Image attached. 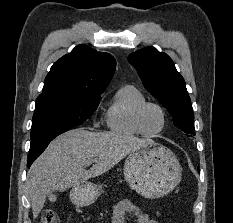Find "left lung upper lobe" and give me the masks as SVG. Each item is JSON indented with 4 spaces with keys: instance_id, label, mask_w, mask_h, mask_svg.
<instances>
[{
    "instance_id": "left-lung-upper-lobe-1",
    "label": "left lung upper lobe",
    "mask_w": 233,
    "mask_h": 223,
    "mask_svg": "<svg viewBox=\"0 0 233 223\" xmlns=\"http://www.w3.org/2000/svg\"><path fill=\"white\" fill-rule=\"evenodd\" d=\"M128 61L136 68L144 87L173 116L175 126L189 137L195 135L191 100L185 81L171 58L153 47H147L130 54Z\"/></svg>"
}]
</instances>
